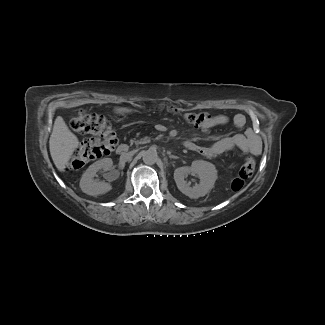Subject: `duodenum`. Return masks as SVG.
<instances>
[{
	"instance_id": "410a0bca",
	"label": "duodenum",
	"mask_w": 325,
	"mask_h": 325,
	"mask_svg": "<svg viewBox=\"0 0 325 325\" xmlns=\"http://www.w3.org/2000/svg\"><path fill=\"white\" fill-rule=\"evenodd\" d=\"M188 144H191L190 142L186 143V147ZM118 154L120 156H125L127 155V153L129 152V146L127 144H121L119 147H118V150H117Z\"/></svg>"
}]
</instances>
